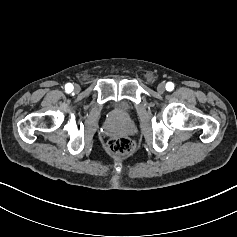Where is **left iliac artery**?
Here are the masks:
<instances>
[{
    "mask_svg": "<svg viewBox=\"0 0 237 237\" xmlns=\"http://www.w3.org/2000/svg\"><path fill=\"white\" fill-rule=\"evenodd\" d=\"M174 89V84L172 82H168L166 84V90L167 91H172Z\"/></svg>",
    "mask_w": 237,
    "mask_h": 237,
    "instance_id": "1",
    "label": "left iliac artery"
}]
</instances>
